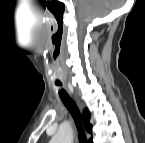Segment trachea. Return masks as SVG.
Returning <instances> with one entry per match:
<instances>
[{"label":"trachea","instance_id":"3493384b","mask_svg":"<svg viewBox=\"0 0 145 143\" xmlns=\"http://www.w3.org/2000/svg\"><path fill=\"white\" fill-rule=\"evenodd\" d=\"M56 85L61 86V83L57 82ZM59 96L74 119V122L76 124L77 130L79 133L80 143H88L84 128H83L81 120H80L79 109H78L76 103L70 98V96L66 93V91L64 89H61L59 91Z\"/></svg>","mask_w":145,"mask_h":143}]
</instances>
